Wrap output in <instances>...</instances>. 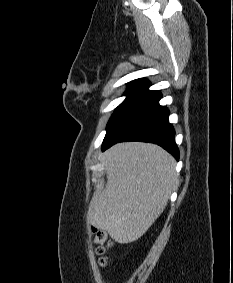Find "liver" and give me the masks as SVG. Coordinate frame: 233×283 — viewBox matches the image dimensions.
<instances>
[{"mask_svg": "<svg viewBox=\"0 0 233 283\" xmlns=\"http://www.w3.org/2000/svg\"><path fill=\"white\" fill-rule=\"evenodd\" d=\"M105 189L93 196L88 221L120 244L138 240L164 211L178 184L175 159L158 145L119 143L104 154Z\"/></svg>", "mask_w": 233, "mask_h": 283, "instance_id": "obj_1", "label": "liver"}]
</instances>
